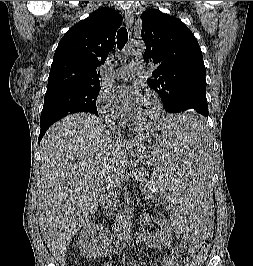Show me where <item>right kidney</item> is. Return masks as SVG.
Returning <instances> with one entry per match:
<instances>
[{
  "mask_svg": "<svg viewBox=\"0 0 253 266\" xmlns=\"http://www.w3.org/2000/svg\"><path fill=\"white\" fill-rule=\"evenodd\" d=\"M97 233H99L98 236ZM108 244L109 231L104 226L93 221H88L79 233V249L86 258L96 259L103 257L108 251Z\"/></svg>",
  "mask_w": 253,
  "mask_h": 266,
  "instance_id": "right-kidney-1",
  "label": "right kidney"
}]
</instances>
